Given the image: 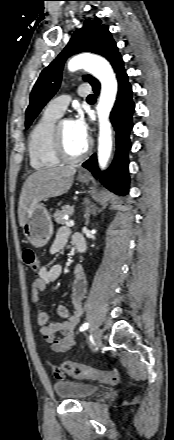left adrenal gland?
<instances>
[{
  "label": "left adrenal gland",
  "instance_id": "left-adrenal-gland-1",
  "mask_svg": "<svg viewBox=\"0 0 174 440\" xmlns=\"http://www.w3.org/2000/svg\"><path fill=\"white\" fill-rule=\"evenodd\" d=\"M89 223V214H87V218H86V224Z\"/></svg>",
  "mask_w": 174,
  "mask_h": 440
}]
</instances>
